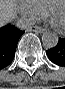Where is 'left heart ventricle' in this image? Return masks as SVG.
<instances>
[{
  "instance_id": "b2bd125f",
  "label": "left heart ventricle",
  "mask_w": 65,
  "mask_h": 89,
  "mask_svg": "<svg viewBox=\"0 0 65 89\" xmlns=\"http://www.w3.org/2000/svg\"><path fill=\"white\" fill-rule=\"evenodd\" d=\"M51 21L60 28H65V7L58 5L52 10Z\"/></svg>"
}]
</instances>
